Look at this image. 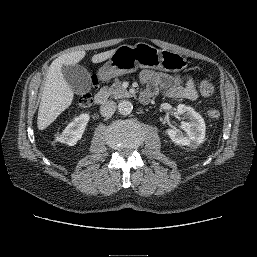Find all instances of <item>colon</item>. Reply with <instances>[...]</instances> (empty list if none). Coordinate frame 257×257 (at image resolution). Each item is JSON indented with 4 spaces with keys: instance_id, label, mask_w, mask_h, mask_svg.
<instances>
[{
    "instance_id": "1",
    "label": "colon",
    "mask_w": 257,
    "mask_h": 257,
    "mask_svg": "<svg viewBox=\"0 0 257 257\" xmlns=\"http://www.w3.org/2000/svg\"><path fill=\"white\" fill-rule=\"evenodd\" d=\"M96 84V82H94ZM199 92L202 96H210L214 93V85L210 81H202L199 85ZM92 96L90 94H85L80 97L79 104L82 107H89L92 104ZM208 115L212 119H218L220 117V112L217 109H211Z\"/></svg>"
}]
</instances>
